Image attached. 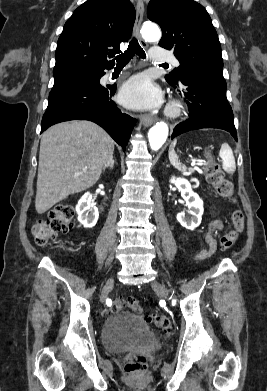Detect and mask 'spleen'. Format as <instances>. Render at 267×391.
<instances>
[{"mask_svg":"<svg viewBox=\"0 0 267 391\" xmlns=\"http://www.w3.org/2000/svg\"><path fill=\"white\" fill-rule=\"evenodd\" d=\"M176 142L177 141L174 140L172 142V144L170 145V147H169V152H168L169 160H170V163L176 169L181 170V171H185L186 170V166L184 164H182L178 160V156H177V154H176V152L174 150ZM219 156L222 159V167H223V169L227 173L233 174L235 172V170H236L235 158H234L233 151H232L231 147L227 143H223L221 145V148H220V151H219Z\"/></svg>","mask_w":267,"mask_h":391,"instance_id":"obj_1","label":"spleen"}]
</instances>
